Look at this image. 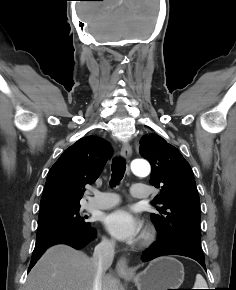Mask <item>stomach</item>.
<instances>
[{"label":"stomach","instance_id":"obj_1","mask_svg":"<svg viewBox=\"0 0 236 290\" xmlns=\"http://www.w3.org/2000/svg\"><path fill=\"white\" fill-rule=\"evenodd\" d=\"M123 278L132 280L138 290L179 289L184 281V267L173 257H160L151 261L139 274Z\"/></svg>","mask_w":236,"mask_h":290}]
</instances>
